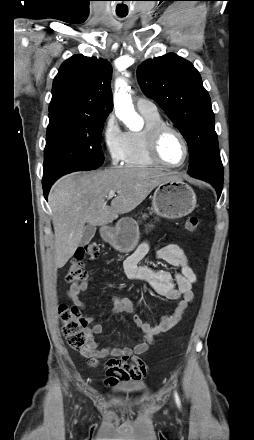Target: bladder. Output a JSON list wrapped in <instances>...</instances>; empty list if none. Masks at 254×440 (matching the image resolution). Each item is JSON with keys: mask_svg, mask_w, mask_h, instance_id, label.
<instances>
[{"mask_svg": "<svg viewBox=\"0 0 254 440\" xmlns=\"http://www.w3.org/2000/svg\"><path fill=\"white\" fill-rule=\"evenodd\" d=\"M147 389V385L145 383H134L124 389V392L130 393H138L143 392Z\"/></svg>", "mask_w": 254, "mask_h": 440, "instance_id": "obj_1", "label": "bladder"}]
</instances>
